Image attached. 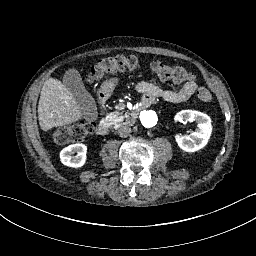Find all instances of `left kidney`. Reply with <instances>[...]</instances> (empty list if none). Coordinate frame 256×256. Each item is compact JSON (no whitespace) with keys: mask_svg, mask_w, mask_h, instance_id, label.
Wrapping results in <instances>:
<instances>
[{"mask_svg":"<svg viewBox=\"0 0 256 256\" xmlns=\"http://www.w3.org/2000/svg\"><path fill=\"white\" fill-rule=\"evenodd\" d=\"M196 122L197 128L194 132L188 135H175V140L178 146L186 152H195L202 149L208 142L212 125L211 119L207 114L195 110H182L175 117V122L181 121Z\"/></svg>","mask_w":256,"mask_h":256,"instance_id":"obj_1","label":"left kidney"}]
</instances>
